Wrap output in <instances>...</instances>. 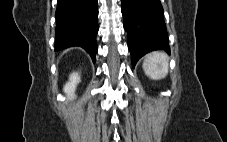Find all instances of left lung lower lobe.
<instances>
[{
	"mask_svg": "<svg viewBox=\"0 0 227 142\" xmlns=\"http://www.w3.org/2000/svg\"><path fill=\"white\" fill-rule=\"evenodd\" d=\"M121 10L133 67L150 51L170 53L160 0H122Z\"/></svg>",
	"mask_w": 227,
	"mask_h": 142,
	"instance_id": "obj_1",
	"label": "left lung lower lobe"
}]
</instances>
